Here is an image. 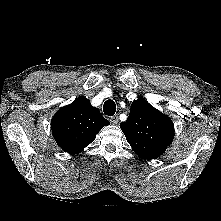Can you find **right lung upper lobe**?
<instances>
[{
    "label": "right lung upper lobe",
    "instance_id": "cb5924a9",
    "mask_svg": "<svg viewBox=\"0 0 221 221\" xmlns=\"http://www.w3.org/2000/svg\"><path fill=\"white\" fill-rule=\"evenodd\" d=\"M109 124L88 99L78 97L59 109L51 121V129L57 144L65 152L77 154L94 141L102 127Z\"/></svg>",
    "mask_w": 221,
    "mask_h": 221
}]
</instances>
